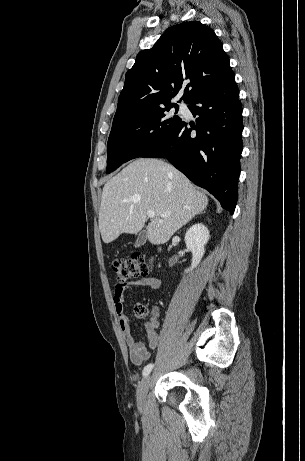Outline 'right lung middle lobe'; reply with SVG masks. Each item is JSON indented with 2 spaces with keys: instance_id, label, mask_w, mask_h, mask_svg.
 Returning <instances> with one entry per match:
<instances>
[{
  "instance_id": "1",
  "label": "right lung middle lobe",
  "mask_w": 305,
  "mask_h": 461,
  "mask_svg": "<svg viewBox=\"0 0 305 461\" xmlns=\"http://www.w3.org/2000/svg\"><path fill=\"white\" fill-rule=\"evenodd\" d=\"M172 107L176 114L178 105L166 104L114 123L107 144L106 173L163 144L182 122L178 115L168 113Z\"/></svg>"
}]
</instances>
